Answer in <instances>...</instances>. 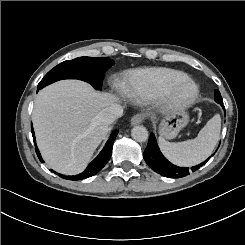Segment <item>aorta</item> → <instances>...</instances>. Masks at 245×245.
Wrapping results in <instances>:
<instances>
[{"label": "aorta", "instance_id": "obj_1", "mask_svg": "<svg viewBox=\"0 0 245 245\" xmlns=\"http://www.w3.org/2000/svg\"><path fill=\"white\" fill-rule=\"evenodd\" d=\"M131 136L137 142H145L148 139V131L144 126H135L131 130Z\"/></svg>", "mask_w": 245, "mask_h": 245}]
</instances>
